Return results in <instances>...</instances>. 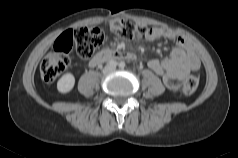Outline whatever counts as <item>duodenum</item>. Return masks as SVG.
I'll return each instance as SVG.
<instances>
[{"label": "duodenum", "mask_w": 238, "mask_h": 158, "mask_svg": "<svg viewBox=\"0 0 238 158\" xmlns=\"http://www.w3.org/2000/svg\"><path fill=\"white\" fill-rule=\"evenodd\" d=\"M133 60L135 55L129 52H119L112 50H104L98 52L90 61V66L94 67L101 63L113 60Z\"/></svg>", "instance_id": "410a0bca"}]
</instances>
